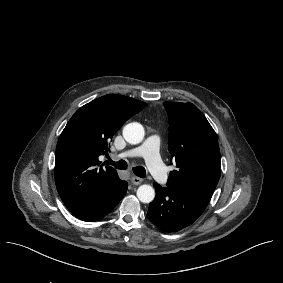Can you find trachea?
Listing matches in <instances>:
<instances>
[{
  "mask_svg": "<svg viewBox=\"0 0 283 283\" xmlns=\"http://www.w3.org/2000/svg\"><path fill=\"white\" fill-rule=\"evenodd\" d=\"M106 163L111 164L115 168L120 169V170H126L128 168V164L125 160L114 162L111 159H108ZM132 170H133V173L140 178H144L146 176V170L142 166L133 167Z\"/></svg>",
  "mask_w": 283,
  "mask_h": 283,
  "instance_id": "3493384b",
  "label": "trachea"
}]
</instances>
